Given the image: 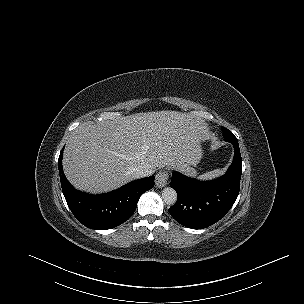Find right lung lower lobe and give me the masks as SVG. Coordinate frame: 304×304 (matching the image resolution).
Returning <instances> with one entry per match:
<instances>
[{
  "mask_svg": "<svg viewBox=\"0 0 304 304\" xmlns=\"http://www.w3.org/2000/svg\"><path fill=\"white\" fill-rule=\"evenodd\" d=\"M62 156L63 149L58 160L63 194L73 215L88 228L106 230L124 223L135 212L140 196L154 187V176H150L101 195L80 192L66 179Z\"/></svg>",
  "mask_w": 304,
  "mask_h": 304,
  "instance_id": "98d812e1",
  "label": "right lung lower lobe"
}]
</instances>
